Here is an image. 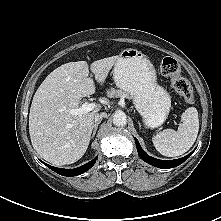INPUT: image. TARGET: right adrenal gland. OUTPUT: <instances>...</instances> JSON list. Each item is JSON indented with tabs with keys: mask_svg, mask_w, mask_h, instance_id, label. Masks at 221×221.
I'll return each mask as SVG.
<instances>
[{
	"mask_svg": "<svg viewBox=\"0 0 221 221\" xmlns=\"http://www.w3.org/2000/svg\"><path fill=\"white\" fill-rule=\"evenodd\" d=\"M100 123H101V122H96V123L94 124V128H93V132H92L91 138H93V137L95 136L96 131H97L98 126H99Z\"/></svg>",
	"mask_w": 221,
	"mask_h": 221,
	"instance_id": "2a0ac1e0",
	"label": "right adrenal gland"
}]
</instances>
